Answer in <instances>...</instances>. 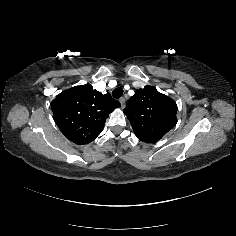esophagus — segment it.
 <instances>
[{"label":"esophagus","mask_w":236,"mask_h":236,"mask_svg":"<svg viewBox=\"0 0 236 236\" xmlns=\"http://www.w3.org/2000/svg\"><path fill=\"white\" fill-rule=\"evenodd\" d=\"M119 102L121 103V107L124 108V106H125V98H124V97H121V98L119 99Z\"/></svg>","instance_id":"1"}]
</instances>
